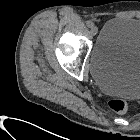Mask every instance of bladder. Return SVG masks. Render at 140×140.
Returning <instances> with one entry per match:
<instances>
[{"instance_id":"31cf9c89","label":"bladder","mask_w":140,"mask_h":140,"mask_svg":"<svg viewBox=\"0 0 140 140\" xmlns=\"http://www.w3.org/2000/svg\"><path fill=\"white\" fill-rule=\"evenodd\" d=\"M99 87L120 98H140V19L115 17L105 23L90 53Z\"/></svg>"}]
</instances>
